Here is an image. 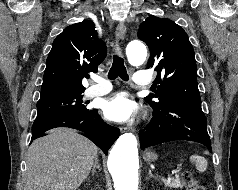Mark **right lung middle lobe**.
Masks as SVG:
<instances>
[{"label":"right lung middle lobe","mask_w":238,"mask_h":190,"mask_svg":"<svg viewBox=\"0 0 238 190\" xmlns=\"http://www.w3.org/2000/svg\"><path fill=\"white\" fill-rule=\"evenodd\" d=\"M82 93L40 99L37 103V117L88 111L82 104Z\"/></svg>","instance_id":"dd1d6c3e"}]
</instances>
